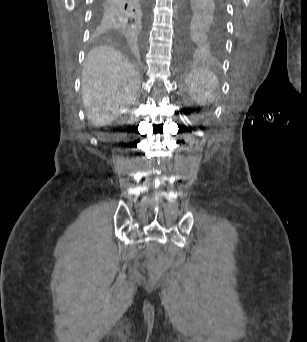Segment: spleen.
Wrapping results in <instances>:
<instances>
[{
	"mask_svg": "<svg viewBox=\"0 0 307 342\" xmlns=\"http://www.w3.org/2000/svg\"><path fill=\"white\" fill-rule=\"evenodd\" d=\"M191 77L187 78V83L194 100L201 106L212 104L217 96L219 80L211 70H191Z\"/></svg>",
	"mask_w": 307,
	"mask_h": 342,
	"instance_id": "obj_1",
	"label": "spleen"
}]
</instances>
